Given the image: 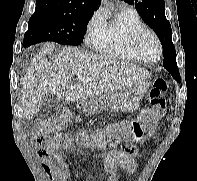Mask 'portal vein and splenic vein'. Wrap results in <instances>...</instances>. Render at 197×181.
<instances>
[{"label": "portal vein and splenic vein", "instance_id": "18ae733b", "mask_svg": "<svg viewBox=\"0 0 197 181\" xmlns=\"http://www.w3.org/2000/svg\"><path fill=\"white\" fill-rule=\"evenodd\" d=\"M77 80L78 81H83V82H88L89 81L88 78H84V77H81V76H77Z\"/></svg>", "mask_w": 197, "mask_h": 181}]
</instances>
